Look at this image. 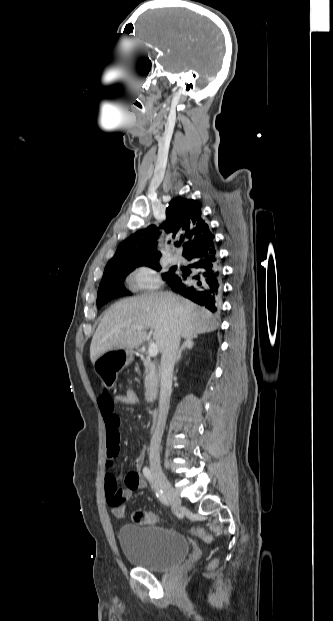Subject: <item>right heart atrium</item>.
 <instances>
[{"mask_svg":"<svg viewBox=\"0 0 333 621\" xmlns=\"http://www.w3.org/2000/svg\"><path fill=\"white\" fill-rule=\"evenodd\" d=\"M160 278L150 266L136 268L129 277V287L135 291H151L159 288Z\"/></svg>","mask_w":333,"mask_h":621,"instance_id":"obj_1","label":"right heart atrium"}]
</instances>
